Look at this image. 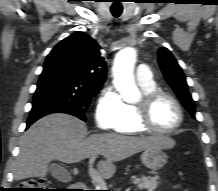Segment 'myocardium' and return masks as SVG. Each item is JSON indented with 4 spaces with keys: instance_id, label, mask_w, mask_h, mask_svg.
<instances>
[{
    "instance_id": "myocardium-1",
    "label": "myocardium",
    "mask_w": 218,
    "mask_h": 191,
    "mask_svg": "<svg viewBox=\"0 0 218 191\" xmlns=\"http://www.w3.org/2000/svg\"><path fill=\"white\" fill-rule=\"evenodd\" d=\"M159 98L169 99L177 108L179 119L178 123L169 129H161L155 126L151 111L154 103ZM137 121L139 125L147 131L159 133V134H172L178 131L184 122V110L181 103L172 94L163 90L154 89L151 91L144 92L141 99L135 104Z\"/></svg>"
}]
</instances>
